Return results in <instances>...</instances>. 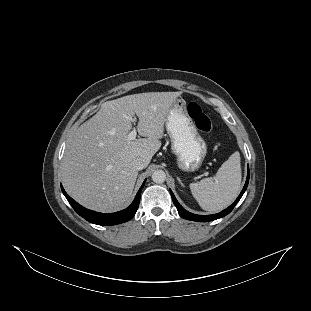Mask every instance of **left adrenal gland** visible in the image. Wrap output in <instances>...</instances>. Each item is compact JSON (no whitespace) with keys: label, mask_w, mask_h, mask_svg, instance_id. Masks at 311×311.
Returning <instances> with one entry per match:
<instances>
[{"label":"left adrenal gland","mask_w":311,"mask_h":311,"mask_svg":"<svg viewBox=\"0 0 311 311\" xmlns=\"http://www.w3.org/2000/svg\"><path fill=\"white\" fill-rule=\"evenodd\" d=\"M178 182L181 184V186L184 187V184L182 183L181 179L179 177H177Z\"/></svg>","instance_id":"a2214340"}]
</instances>
